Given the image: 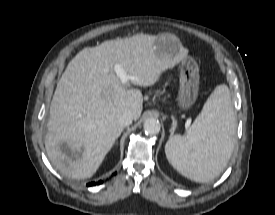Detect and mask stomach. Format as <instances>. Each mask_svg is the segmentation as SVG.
I'll list each match as a JSON object with an SVG mask.
<instances>
[{
	"instance_id": "stomach-1",
	"label": "stomach",
	"mask_w": 275,
	"mask_h": 215,
	"mask_svg": "<svg viewBox=\"0 0 275 215\" xmlns=\"http://www.w3.org/2000/svg\"><path fill=\"white\" fill-rule=\"evenodd\" d=\"M153 48L158 56L175 57L182 48L179 39L170 33L157 35ZM199 92V67L192 58L181 62L180 85L177 97L178 106L182 110L190 109L196 102Z\"/></svg>"
}]
</instances>
